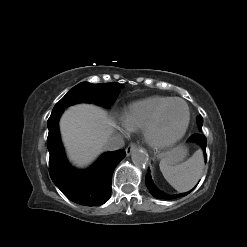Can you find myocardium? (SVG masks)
Instances as JSON below:
<instances>
[{"instance_id":"myocardium-1","label":"myocardium","mask_w":247,"mask_h":247,"mask_svg":"<svg viewBox=\"0 0 247 247\" xmlns=\"http://www.w3.org/2000/svg\"><path fill=\"white\" fill-rule=\"evenodd\" d=\"M174 102H181L185 105L186 112H187L185 123L183 127L181 128V130L175 135L170 136V137H161L156 132L158 123L164 111ZM190 120H191V112H190V108L187 102L181 98H172L169 101H167L165 104H163L157 110V112L152 117L151 121L148 123V125L144 129L145 139L147 143L155 149H164V148L170 147L174 145L175 143H177L185 135L189 127Z\"/></svg>"}]
</instances>
